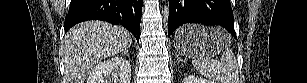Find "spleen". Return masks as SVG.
<instances>
[{"instance_id":"obj_1","label":"spleen","mask_w":307,"mask_h":83,"mask_svg":"<svg viewBox=\"0 0 307 83\" xmlns=\"http://www.w3.org/2000/svg\"><path fill=\"white\" fill-rule=\"evenodd\" d=\"M193 65L197 72L213 83H239L237 60L227 47L222 51L220 62L209 56H199L193 58Z\"/></svg>"}]
</instances>
